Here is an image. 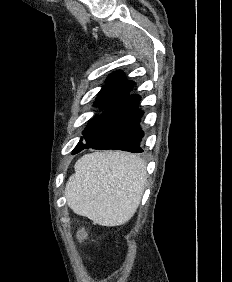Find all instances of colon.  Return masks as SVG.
Wrapping results in <instances>:
<instances>
[{
	"label": "colon",
	"mask_w": 232,
	"mask_h": 282,
	"mask_svg": "<svg viewBox=\"0 0 232 282\" xmlns=\"http://www.w3.org/2000/svg\"><path fill=\"white\" fill-rule=\"evenodd\" d=\"M80 236L83 237V234L81 233Z\"/></svg>",
	"instance_id": "colon-1"
}]
</instances>
